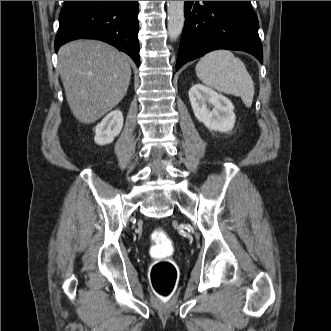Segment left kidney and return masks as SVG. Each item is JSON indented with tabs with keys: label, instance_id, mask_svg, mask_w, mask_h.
Instances as JSON below:
<instances>
[{
	"label": "left kidney",
	"instance_id": "5707ae66",
	"mask_svg": "<svg viewBox=\"0 0 331 331\" xmlns=\"http://www.w3.org/2000/svg\"><path fill=\"white\" fill-rule=\"evenodd\" d=\"M189 99L195 117L208 129L229 132L235 124L234 106L225 96L202 84L189 90Z\"/></svg>",
	"mask_w": 331,
	"mask_h": 331
}]
</instances>
